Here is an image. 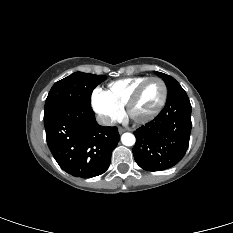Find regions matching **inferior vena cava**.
I'll use <instances>...</instances> for the list:
<instances>
[{
    "label": "inferior vena cava",
    "mask_w": 233,
    "mask_h": 233,
    "mask_svg": "<svg viewBox=\"0 0 233 233\" xmlns=\"http://www.w3.org/2000/svg\"><path fill=\"white\" fill-rule=\"evenodd\" d=\"M96 120L100 125L103 126H112L114 124V121L110 117L104 115H98Z\"/></svg>",
    "instance_id": "obj_1"
}]
</instances>
